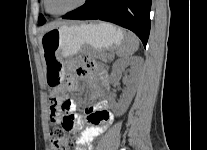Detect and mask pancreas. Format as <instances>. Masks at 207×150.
Returning a JSON list of instances; mask_svg holds the SVG:
<instances>
[{"label":"pancreas","instance_id":"pancreas-1","mask_svg":"<svg viewBox=\"0 0 207 150\" xmlns=\"http://www.w3.org/2000/svg\"><path fill=\"white\" fill-rule=\"evenodd\" d=\"M112 57H113V54L112 53H110V54L105 53V54L101 55L99 57V59H101L103 61H107V60H111Z\"/></svg>","mask_w":207,"mask_h":150}]
</instances>
